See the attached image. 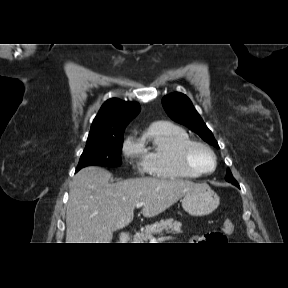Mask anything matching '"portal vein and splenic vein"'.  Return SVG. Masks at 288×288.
<instances>
[{
  "label": "portal vein and splenic vein",
  "mask_w": 288,
  "mask_h": 288,
  "mask_svg": "<svg viewBox=\"0 0 288 288\" xmlns=\"http://www.w3.org/2000/svg\"><path fill=\"white\" fill-rule=\"evenodd\" d=\"M143 204H144L143 202H139V203L136 204V207H137V208H140V207L143 206ZM150 240H151V241H154L155 238H151Z\"/></svg>",
  "instance_id": "1"
}]
</instances>
